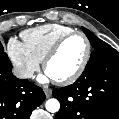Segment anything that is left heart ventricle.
<instances>
[{"label":"left heart ventricle","instance_id":"b2bd125f","mask_svg":"<svg viewBox=\"0 0 119 119\" xmlns=\"http://www.w3.org/2000/svg\"><path fill=\"white\" fill-rule=\"evenodd\" d=\"M86 53V43L81 36L67 40L58 54L48 63L46 72L53 79H62L72 74L81 64Z\"/></svg>","mask_w":119,"mask_h":119}]
</instances>
